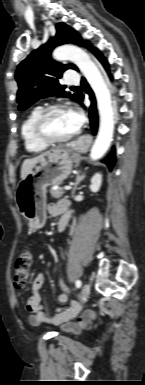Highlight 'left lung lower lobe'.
<instances>
[{
    "label": "left lung lower lobe",
    "instance_id": "left-lung-lower-lobe-1",
    "mask_svg": "<svg viewBox=\"0 0 145 385\" xmlns=\"http://www.w3.org/2000/svg\"><path fill=\"white\" fill-rule=\"evenodd\" d=\"M89 50H91L96 57L101 61V63L104 65L106 69H108V63L105 58H103L102 54L97 50L93 49L91 45H88L87 47ZM82 86L85 89V92L90 95L91 100V106L89 108V118L91 121V129L93 134H96L97 128H98V115H97V109H96V102L94 98V94L88 84L86 83L85 79H82ZM83 96L81 98V101L79 103H82ZM103 162L108 166V168L111 170L115 163V149L113 148L112 152L103 160Z\"/></svg>",
    "mask_w": 145,
    "mask_h": 385
}]
</instances>
